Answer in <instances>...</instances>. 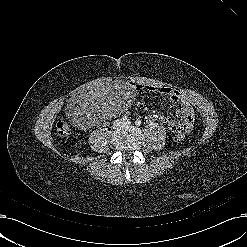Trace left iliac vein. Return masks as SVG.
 Here are the masks:
<instances>
[{"label":"left iliac vein","mask_w":247,"mask_h":247,"mask_svg":"<svg viewBox=\"0 0 247 247\" xmlns=\"http://www.w3.org/2000/svg\"><path fill=\"white\" fill-rule=\"evenodd\" d=\"M125 125L127 124V125H129V124H131V122L130 121H128V122H126V123H124Z\"/></svg>","instance_id":"4c4485c4"}]
</instances>
